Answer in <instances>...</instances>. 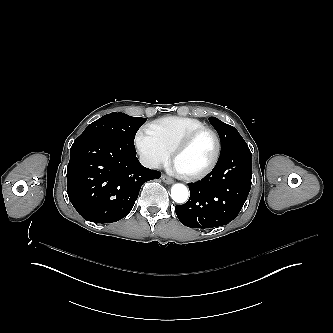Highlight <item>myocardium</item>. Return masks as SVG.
<instances>
[{
    "label": "myocardium",
    "instance_id": "f54148a6",
    "mask_svg": "<svg viewBox=\"0 0 333 333\" xmlns=\"http://www.w3.org/2000/svg\"><path fill=\"white\" fill-rule=\"evenodd\" d=\"M204 132H208L210 133L215 141V153L213 155V158L211 159V161L208 163L207 166H205L204 168H202L201 170L194 172L192 174H183L181 175V177L184 180L187 181H194V180H198L201 179L203 177H205L206 175H208L217 165L220 155H221V140L218 136V134L211 128L209 127H202V128H198V129H194L192 131H190L189 133H187L186 135H184L171 149L170 153H169V157H168V163H171L172 159L179 154L181 151H183L185 148H187L192 141L200 134L204 133Z\"/></svg>",
    "mask_w": 333,
    "mask_h": 333
}]
</instances>
